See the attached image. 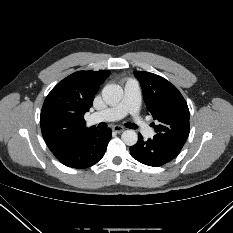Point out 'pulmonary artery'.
Instances as JSON below:
<instances>
[{
	"label": "pulmonary artery",
	"mask_w": 233,
	"mask_h": 233,
	"mask_svg": "<svg viewBox=\"0 0 233 233\" xmlns=\"http://www.w3.org/2000/svg\"><path fill=\"white\" fill-rule=\"evenodd\" d=\"M140 100L139 83L137 80L130 78L125 82L124 94L121 101L112 107L92 114L89 118V122L94 124L116 121L129 114L132 122L137 126L141 133L150 137L153 134V129L139 115Z\"/></svg>",
	"instance_id": "obj_1"
}]
</instances>
